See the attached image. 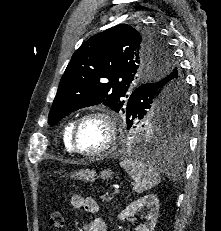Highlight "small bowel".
Segmentation results:
<instances>
[{
	"mask_svg": "<svg viewBox=\"0 0 221 231\" xmlns=\"http://www.w3.org/2000/svg\"><path fill=\"white\" fill-rule=\"evenodd\" d=\"M70 205L73 209L83 208L90 214H96L99 211V205L92 197L73 195L70 198ZM88 231H107V227L103 219L94 218L88 225Z\"/></svg>",
	"mask_w": 221,
	"mask_h": 231,
	"instance_id": "1",
	"label": "small bowel"
}]
</instances>
